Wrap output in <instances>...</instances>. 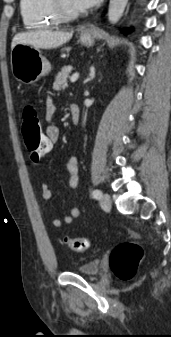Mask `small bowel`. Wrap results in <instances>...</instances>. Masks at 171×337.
<instances>
[{
    "label": "small bowel",
    "instance_id": "c3829d8e",
    "mask_svg": "<svg viewBox=\"0 0 171 337\" xmlns=\"http://www.w3.org/2000/svg\"><path fill=\"white\" fill-rule=\"evenodd\" d=\"M57 110V106L53 99H48L45 105V115L48 121H51ZM46 138L52 141V145H54L60 137V130L58 126L50 123L47 125L45 129ZM79 158L76 156H72L69 158L66 168L69 175L68 184L69 187L76 191L78 189L79 178H78V170H79ZM41 195L44 200H49L52 196L51 189L47 183L41 184ZM80 215V209L77 207H73L70 212L64 217V222L66 224H71L73 221L78 218ZM52 225L55 228H60L62 226V221L58 218H54L52 220Z\"/></svg>",
    "mask_w": 171,
    "mask_h": 337
}]
</instances>
